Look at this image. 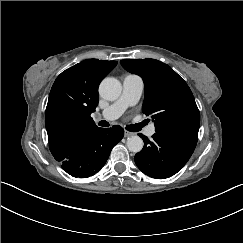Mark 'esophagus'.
<instances>
[{"mask_svg":"<svg viewBox=\"0 0 243 243\" xmlns=\"http://www.w3.org/2000/svg\"><path fill=\"white\" fill-rule=\"evenodd\" d=\"M133 135H134V133L133 132H129V131H125V133H124V137L125 138L131 137Z\"/></svg>","mask_w":243,"mask_h":243,"instance_id":"1","label":"esophagus"}]
</instances>
